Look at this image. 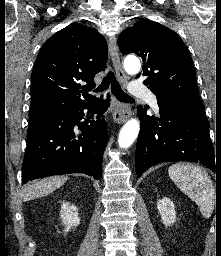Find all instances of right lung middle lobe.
Wrapping results in <instances>:
<instances>
[{"mask_svg":"<svg viewBox=\"0 0 221 256\" xmlns=\"http://www.w3.org/2000/svg\"><path fill=\"white\" fill-rule=\"evenodd\" d=\"M42 116L41 115H33V116H29V124H34L40 120H43L41 119Z\"/></svg>","mask_w":221,"mask_h":256,"instance_id":"1","label":"right lung middle lobe"}]
</instances>
